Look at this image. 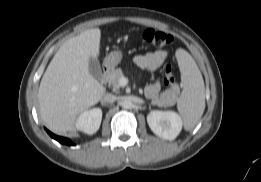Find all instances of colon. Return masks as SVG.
Here are the masks:
<instances>
[{"mask_svg":"<svg viewBox=\"0 0 261 182\" xmlns=\"http://www.w3.org/2000/svg\"><path fill=\"white\" fill-rule=\"evenodd\" d=\"M142 39L147 44L158 48L166 47L173 41V38L170 34L152 28H148L143 31ZM164 83L167 86H170L174 83L172 67L169 64L164 67Z\"/></svg>","mask_w":261,"mask_h":182,"instance_id":"colon-1","label":"colon"}]
</instances>
